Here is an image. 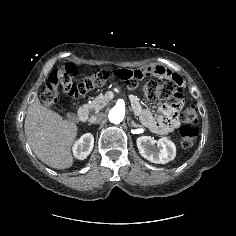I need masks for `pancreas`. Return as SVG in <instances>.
<instances>
[{
	"mask_svg": "<svg viewBox=\"0 0 236 236\" xmlns=\"http://www.w3.org/2000/svg\"><path fill=\"white\" fill-rule=\"evenodd\" d=\"M110 101L106 94H99L96 98H94L91 103L87 104V108L92 109L96 112L102 110Z\"/></svg>",
	"mask_w": 236,
	"mask_h": 236,
	"instance_id": "obj_1",
	"label": "pancreas"
}]
</instances>
